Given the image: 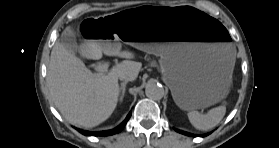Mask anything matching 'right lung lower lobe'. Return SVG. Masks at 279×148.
<instances>
[{
    "mask_svg": "<svg viewBox=\"0 0 279 148\" xmlns=\"http://www.w3.org/2000/svg\"><path fill=\"white\" fill-rule=\"evenodd\" d=\"M131 116V113L126 117V119L116 128L112 129V130H108V131H101V132H89V131H81L79 130V132H81L83 135H87V136H108V135H114L116 133H119L120 131H122V129L125 127L127 121L129 120Z\"/></svg>",
    "mask_w": 279,
    "mask_h": 148,
    "instance_id": "1",
    "label": "right lung lower lobe"
}]
</instances>
